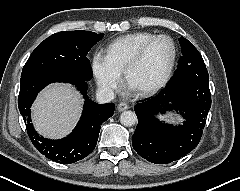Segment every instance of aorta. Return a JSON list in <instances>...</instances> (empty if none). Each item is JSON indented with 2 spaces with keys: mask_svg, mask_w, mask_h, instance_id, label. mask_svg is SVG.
Wrapping results in <instances>:
<instances>
[{
  "mask_svg": "<svg viewBox=\"0 0 240 191\" xmlns=\"http://www.w3.org/2000/svg\"><path fill=\"white\" fill-rule=\"evenodd\" d=\"M120 122L126 127L133 126L137 122V116L133 111H124L120 115Z\"/></svg>",
  "mask_w": 240,
  "mask_h": 191,
  "instance_id": "1",
  "label": "aorta"
}]
</instances>
